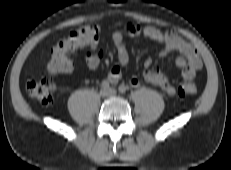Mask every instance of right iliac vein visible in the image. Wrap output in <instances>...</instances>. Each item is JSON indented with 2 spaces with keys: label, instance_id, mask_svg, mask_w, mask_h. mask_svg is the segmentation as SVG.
Listing matches in <instances>:
<instances>
[{
  "label": "right iliac vein",
  "instance_id": "right-iliac-vein-1",
  "mask_svg": "<svg viewBox=\"0 0 231 170\" xmlns=\"http://www.w3.org/2000/svg\"><path fill=\"white\" fill-rule=\"evenodd\" d=\"M107 94H108V92H107L106 89L103 88V89L100 90V96H101V97H106Z\"/></svg>",
  "mask_w": 231,
  "mask_h": 170
}]
</instances>
